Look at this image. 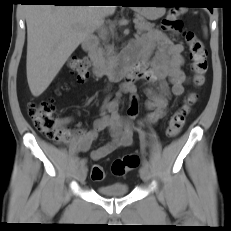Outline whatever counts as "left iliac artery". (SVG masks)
<instances>
[{
  "mask_svg": "<svg viewBox=\"0 0 231 231\" xmlns=\"http://www.w3.org/2000/svg\"><path fill=\"white\" fill-rule=\"evenodd\" d=\"M140 137H141L142 140H144V133L142 131L140 132ZM142 163H143L144 166H146L148 168L150 167V163L145 158H143Z\"/></svg>",
  "mask_w": 231,
  "mask_h": 231,
  "instance_id": "obj_1",
  "label": "left iliac artery"
}]
</instances>
